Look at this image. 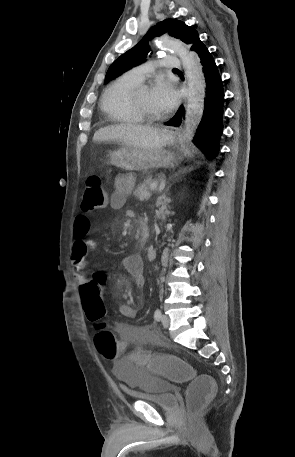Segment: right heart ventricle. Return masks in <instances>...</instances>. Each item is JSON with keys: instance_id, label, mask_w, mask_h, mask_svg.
Returning <instances> with one entry per match:
<instances>
[{"instance_id": "obj_1", "label": "right heart ventricle", "mask_w": 295, "mask_h": 457, "mask_svg": "<svg viewBox=\"0 0 295 457\" xmlns=\"http://www.w3.org/2000/svg\"><path fill=\"white\" fill-rule=\"evenodd\" d=\"M139 84V81L125 74L106 87L100 105L111 121L125 124H138L143 121L135 113L130 102L131 92Z\"/></svg>"}]
</instances>
